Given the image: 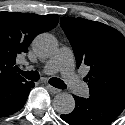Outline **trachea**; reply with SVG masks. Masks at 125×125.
<instances>
[{"label":"trachea","instance_id":"trachea-1","mask_svg":"<svg viewBox=\"0 0 125 125\" xmlns=\"http://www.w3.org/2000/svg\"><path fill=\"white\" fill-rule=\"evenodd\" d=\"M17 72H19L22 76L25 78L31 80V81H38L39 80V73L37 71H22L18 67L15 69ZM49 83L59 89H65L66 85L65 83L59 79V78H50Z\"/></svg>","mask_w":125,"mask_h":125}]
</instances>
